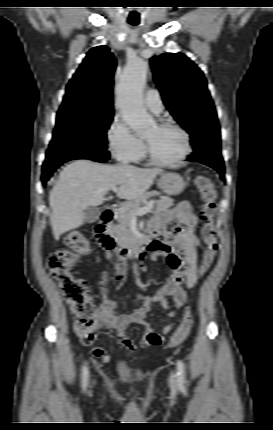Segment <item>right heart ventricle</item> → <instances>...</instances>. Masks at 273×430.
Returning <instances> with one entry per match:
<instances>
[{
    "mask_svg": "<svg viewBox=\"0 0 273 430\" xmlns=\"http://www.w3.org/2000/svg\"><path fill=\"white\" fill-rule=\"evenodd\" d=\"M142 156H143V153L139 156V158H138L137 160L141 159V158H142Z\"/></svg>",
    "mask_w": 273,
    "mask_h": 430,
    "instance_id": "1",
    "label": "right heart ventricle"
}]
</instances>
